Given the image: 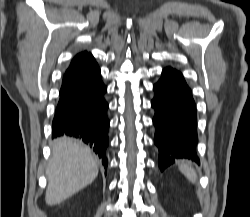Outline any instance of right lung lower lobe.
<instances>
[{"mask_svg": "<svg viewBox=\"0 0 250 217\" xmlns=\"http://www.w3.org/2000/svg\"><path fill=\"white\" fill-rule=\"evenodd\" d=\"M107 88L92 55L68 68L52 122V138L70 136L88 144L107 169L108 103Z\"/></svg>", "mask_w": 250, "mask_h": 217, "instance_id": "obj_1", "label": "right lung lower lobe"}]
</instances>
